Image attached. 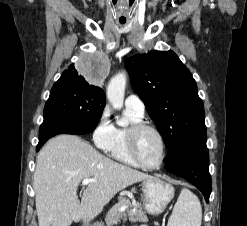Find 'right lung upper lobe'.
<instances>
[{
    "instance_id": "cb5924a9",
    "label": "right lung upper lobe",
    "mask_w": 247,
    "mask_h": 226,
    "mask_svg": "<svg viewBox=\"0 0 247 226\" xmlns=\"http://www.w3.org/2000/svg\"><path fill=\"white\" fill-rule=\"evenodd\" d=\"M66 77H71L74 79V81L78 84V85H82V86H85V87H88V88H91L93 89L94 91H96L98 94L102 95L104 98H105V94H104V91L99 88V87H96V86H91L89 85L86 80L82 77H80L78 74H77V71L76 69L74 68V64H71L69 66V69L68 70H65L61 77L60 78H66Z\"/></svg>"
}]
</instances>
